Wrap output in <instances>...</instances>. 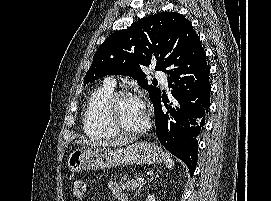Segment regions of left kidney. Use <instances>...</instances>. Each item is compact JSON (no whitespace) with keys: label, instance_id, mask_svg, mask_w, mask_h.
Segmentation results:
<instances>
[{"label":"left kidney","instance_id":"obj_1","mask_svg":"<svg viewBox=\"0 0 271 201\" xmlns=\"http://www.w3.org/2000/svg\"><path fill=\"white\" fill-rule=\"evenodd\" d=\"M146 201H156L154 195H149Z\"/></svg>","mask_w":271,"mask_h":201}]
</instances>
